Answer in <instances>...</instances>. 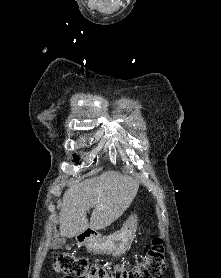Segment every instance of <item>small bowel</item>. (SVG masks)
Masks as SVG:
<instances>
[{
    "label": "small bowel",
    "instance_id": "c3829d8e",
    "mask_svg": "<svg viewBox=\"0 0 221 278\" xmlns=\"http://www.w3.org/2000/svg\"><path fill=\"white\" fill-rule=\"evenodd\" d=\"M124 269V266L122 264H118L113 268L114 272H118L120 270Z\"/></svg>",
    "mask_w": 221,
    "mask_h": 278
}]
</instances>
